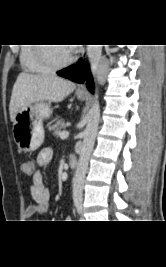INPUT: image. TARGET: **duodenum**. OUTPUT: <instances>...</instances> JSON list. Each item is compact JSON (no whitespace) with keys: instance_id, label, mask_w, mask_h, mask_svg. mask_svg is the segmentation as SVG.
Instances as JSON below:
<instances>
[{"instance_id":"1","label":"duodenum","mask_w":166,"mask_h":267,"mask_svg":"<svg viewBox=\"0 0 166 267\" xmlns=\"http://www.w3.org/2000/svg\"><path fill=\"white\" fill-rule=\"evenodd\" d=\"M77 165H78V163H77L76 158L75 157H70L69 158V167H70V169H72V170L76 169Z\"/></svg>"}]
</instances>
